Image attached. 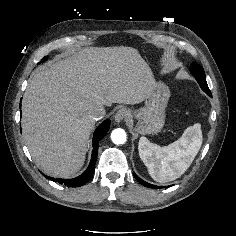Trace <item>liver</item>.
<instances>
[{"label":"liver","instance_id":"6515ba94","mask_svg":"<svg viewBox=\"0 0 236 236\" xmlns=\"http://www.w3.org/2000/svg\"><path fill=\"white\" fill-rule=\"evenodd\" d=\"M152 86L150 67L132 47H87L41 67L22 103L24 140L35 163L52 176L75 174L95 125L90 110L141 103Z\"/></svg>","mask_w":236,"mask_h":236}]
</instances>
